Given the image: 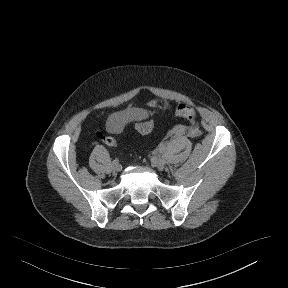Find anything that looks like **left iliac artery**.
<instances>
[{
	"mask_svg": "<svg viewBox=\"0 0 288 288\" xmlns=\"http://www.w3.org/2000/svg\"><path fill=\"white\" fill-rule=\"evenodd\" d=\"M156 155H157V156H159V157L161 156V154H160L159 152H158V153H156Z\"/></svg>",
	"mask_w": 288,
	"mask_h": 288,
	"instance_id": "left-iliac-artery-1",
	"label": "left iliac artery"
}]
</instances>
